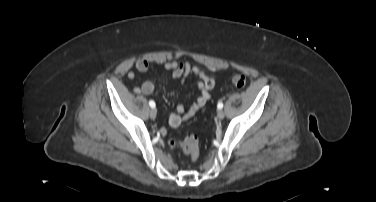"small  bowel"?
Listing matches in <instances>:
<instances>
[{
    "mask_svg": "<svg viewBox=\"0 0 376 202\" xmlns=\"http://www.w3.org/2000/svg\"><path fill=\"white\" fill-rule=\"evenodd\" d=\"M135 66L139 72H148L158 69L157 66L152 65L145 59L138 60ZM163 68L171 71V78L173 80L181 79L182 82H184L189 75H194L199 79L197 82L198 94L195 101L188 106L179 105L176 111L169 116L170 126L178 127L183 122L191 119L212 98L216 79L206 70L192 66L187 61L166 62ZM127 77L129 80H133L135 73L129 71ZM133 90L137 94L144 93L146 95H153L156 93L155 86L150 81L145 82L141 87H135Z\"/></svg>",
    "mask_w": 376,
    "mask_h": 202,
    "instance_id": "c3829d8e",
    "label": "small bowel"
}]
</instances>
